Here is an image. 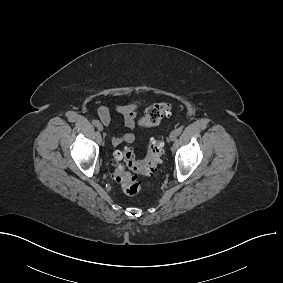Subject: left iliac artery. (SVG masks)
<instances>
[{
  "mask_svg": "<svg viewBox=\"0 0 283 283\" xmlns=\"http://www.w3.org/2000/svg\"><path fill=\"white\" fill-rule=\"evenodd\" d=\"M183 130V127H179L176 129L177 135H179Z\"/></svg>",
  "mask_w": 283,
  "mask_h": 283,
  "instance_id": "left-iliac-artery-1",
  "label": "left iliac artery"
}]
</instances>
